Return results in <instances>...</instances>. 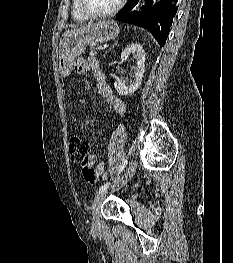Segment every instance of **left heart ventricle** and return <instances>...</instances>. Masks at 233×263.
<instances>
[{"label": "left heart ventricle", "mask_w": 233, "mask_h": 263, "mask_svg": "<svg viewBox=\"0 0 233 263\" xmlns=\"http://www.w3.org/2000/svg\"><path fill=\"white\" fill-rule=\"evenodd\" d=\"M119 0H84L85 7L91 12L99 13L110 10Z\"/></svg>", "instance_id": "1"}]
</instances>
